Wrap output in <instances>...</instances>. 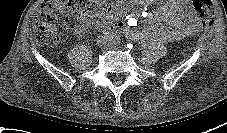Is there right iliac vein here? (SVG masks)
<instances>
[{
  "label": "right iliac vein",
  "instance_id": "63e3f726",
  "mask_svg": "<svg viewBox=\"0 0 227 133\" xmlns=\"http://www.w3.org/2000/svg\"><path fill=\"white\" fill-rule=\"evenodd\" d=\"M110 41H111V40H110L109 37L103 36V37H100V38L97 39V44H98L99 46H103V45H105L107 42H110Z\"/></svg>",
  "mask_w": 227,
  "mask_h": 133
}]
</instances>
